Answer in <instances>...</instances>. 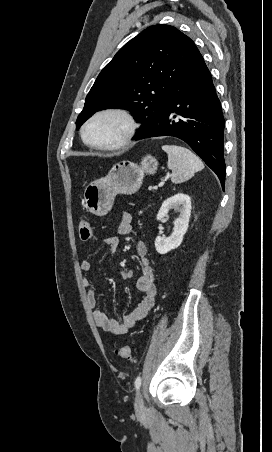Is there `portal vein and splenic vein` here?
Listing matches in <instances>:
<instances>
[{
	"instance_id": "1",
	"label": "portal vein and splenic vein",
	"mask_w": 272,
	"mask_h": 452,
	"mask_svg": "<svg viewBox=\"0 0 272 452\" xmlns=\"http://www.w3.org/2000/svg\"><path fill=\"white\" fill-rule=\"evenodd\" d=\"M162 184H163V182H161L159 185H155L153 188L158 189V187L161 186Z\"/></svg>"
}]
</instances>
